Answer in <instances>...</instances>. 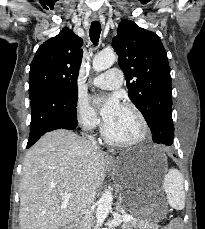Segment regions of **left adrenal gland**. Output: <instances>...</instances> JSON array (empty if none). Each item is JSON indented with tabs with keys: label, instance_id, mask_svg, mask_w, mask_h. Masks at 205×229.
I'll list each match as a JSON object with an SVG mask.
<instances>
[{
	"label": "left adrenal gland",
	"instance_id": "1",
	"mask_svg": "<svg viewBox=\"0 0 205 229\" xmlns=\"http://www.w3.org/2000/svg\"><path fill=\"white\" fill-rule=\"evenodd\" d=\"M120 208H121V201L117 203L116 211L119 212Z\"/></svg>",
	"mask_w": 205,
	"mask_h": 229
}]
</instances>
